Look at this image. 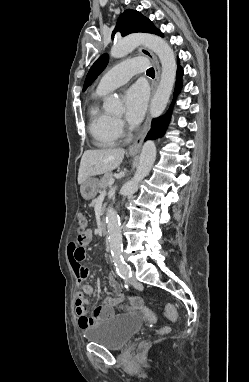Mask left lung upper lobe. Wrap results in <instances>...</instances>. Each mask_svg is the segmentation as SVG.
I'll return each mask as SVG.
<instances>
[{"label": "left lung upper lobe", "instance_id": "obj_1", "mask_svg": "<svg viewBox=\"0 0 249 382\" xmlns=\"http://www.w3.org/2000/svg\"><path fill=\"white\" fill-rule=\"evenodd\" d=\"M117 31H120L122 36L135 32H147L163 36V34L153 26L149 19L142 16L138 11L131 9L124 11V13L119 16L116 28L112 33V37H114V34ZM107 63V54L100 56L99 59L95 61L87 74L83 91L94 82L98 75L105 69Z\"/></svg>", "mask_w": 249, "mask_h": 382}]
</instances>
